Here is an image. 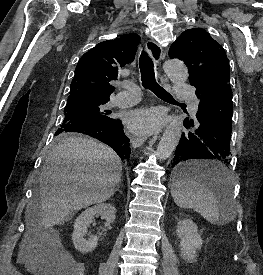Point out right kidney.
Returning a JSON list of instances; mask_svg holds the SVG:
<instances>
[{"label": "right kidney", "instance_id": "right-kidney-1", "mask_svg": "<svg viewBox=\"0 0 263 275\" xmlns=\"http://www.w3.org/2000/svg\"><path fill=\"white\" fill-rule=\"evenodd\" d=\"M116 208L108 203H100L83 211L75 220L72 241L75 248L81 253L93 251L98 245V236H90L88 240L84 237L87 233V226L92 223L95 215H100L111 224L115 220Z\"/></svg>", "mask_w": 263, "mask_h": 275}]
</instances>
